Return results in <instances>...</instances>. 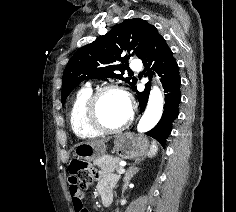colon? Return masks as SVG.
<instances>
[{"mask_svg":"<svg viewBox=\"0 0 236 212\" xmlns=\"http://www.w3.org/2000/svg\"><path fill=\"white\" fill-rule=\"evenodd\" d=\"M70 175H78L79 182L89 187L95 180L97 172L87 163L75 160L70 165Z\"/></svg>","mask_w":236,"mask_h":212,"instance_id":"obj_1","label":"colon"}]
</instances>
